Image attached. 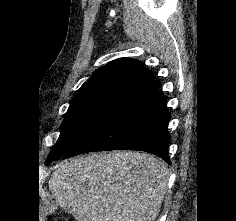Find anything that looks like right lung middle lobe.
Listing matches in <instances>:
<instances>
[{
    "label": "right lung middle lobe",
    "mask_w": 236,
    "mask_h": 221,
    "mask_svg": "<svg viewBox=\"0 0 236 221\" xmlns=\"http://www.w3.org/2000/svg\"><path fill=\"white\" fill-rule=\"evenodd\" d=\"M134 95L116 91L92 93L73 99L61 125L59 139L48 155L47 164L72 150Z\"/></svg>",
    "instance_id": "dd1d6c3e"
}]
</instances>
